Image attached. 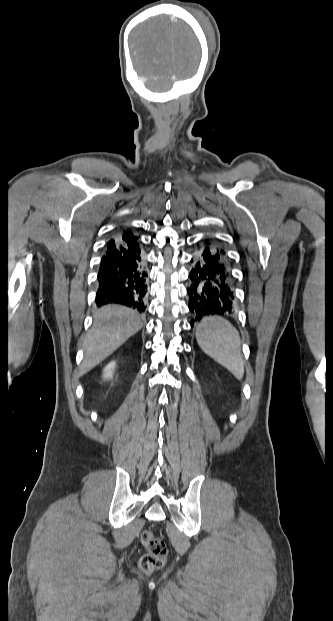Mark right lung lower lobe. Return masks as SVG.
I'll return each instance as SVG.
<instances>
[{"mask_svg":"<svg viewBox=\"0 0 333 621\" xmlns=\"http://www.w3.org/2000/svg\"><path fill=\"white\" fill-rule=\"evenodd\" d=\"M147 277L140 245L111 239L106 245L98 272L97 306L122 304L144 312Z\"/></svg>","mask_w":333,"mask_h":621,"instance_id":"obj_1","label":"right lung lower lobe"}]
</instances>
